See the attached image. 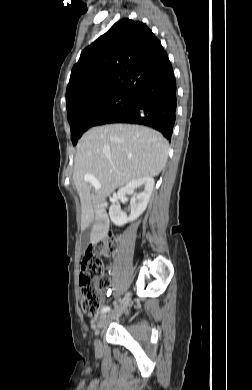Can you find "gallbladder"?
I'll list each match as a JSON object with an SVG mask.
<instances>
[{"label": "gallbladder", "instance_id": "bac80fb5", "mask_svg": "<svg viewBox=\"0 0 252 390\" xmlns=\"http://www.w3.org/2000/svg\"><path fill=\"white\" fill-rule=\"evenodd\" d=\"M92 229V224L88 226L83 232H82V244L86 245L90 238V233Z\"/></svg>", "mask_w": 252, "mask_h": 390}]
</instances>
